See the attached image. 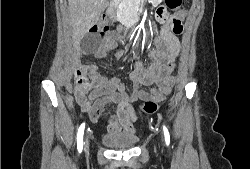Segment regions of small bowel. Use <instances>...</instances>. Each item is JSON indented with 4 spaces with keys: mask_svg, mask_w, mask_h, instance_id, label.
Instances as JSON below:
<instances>
[{
    "mask_svg": "<svg viewBox=\"0 0 250 169\" xmlns=\"http://www.w3.org/2000/svg\"><path fill=\"white\" fill-rule=\"evenodd\" d=\"M165 21L161 37L156 40L155 47L149 52L150 65L144 67L141 62H136L134 71L130 75L132 94L126 90L120 78L108 79L102 75L97 66L90 63L80 64L81 70L88 76L89 82L75 90V100L83 111L87 112L91 119L96 120L103 112L108 102L118 104L116 114L109 120V131L114 134L130 135L135 132L137 117L131 102L145 100L150 95H169L173 86V71L176 58L179 54V41L172 33L176 21L180 22L182 14L170 16L161 14ZM116 47L113 36L105 37L99 46L91 54L97 59H105L107 52ZM116 53V57H121ZM155 83L156 88L149 92L140 89V84L150 85Z\"/></svg>",
    "mask_w": 250,
    "mask_h": 169,
    "instance_id": "c3829d8e",
    "label": "small bowel"
}]
</instances>
